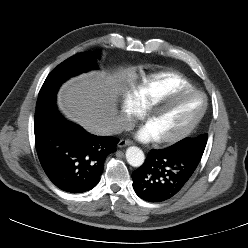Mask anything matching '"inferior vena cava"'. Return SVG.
Returning a JSON list of instances; mask_svg holds the SVG:
<instances>
[{
	"mask_svg": "<svg viewBox=\"0 0 248 248\" xmlns=\"http://www.w3.org/2000/svg\"><path fill=\"white\" fill-rule=\"evenodd\" d=\"M131 127V122L125 116H117L106 135L119 134L125 130H130Z\"/></svg>",
	"mask_w": 248,
	"mask_h": 248,
	"instance_id": "obj_1",
	"label": "inferior vena cava"
}]
</instances>
